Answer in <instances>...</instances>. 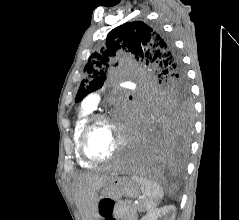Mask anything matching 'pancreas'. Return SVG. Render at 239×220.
<instances>
[{"label":"pancreas","instance_id":"cf45deb5","mask_svg":"<svg viewBox=\"0 0 239 220\" xmlns=\"http://www.w3.org/2000/svg\"><path fill=\"white\" fill-rule=\"evenodd\" d=\"M113 214L121 220H137V208L128 202H118L114 206Z\"/></svg>","mask_w":239,"mask_h":220}]
</instances>
